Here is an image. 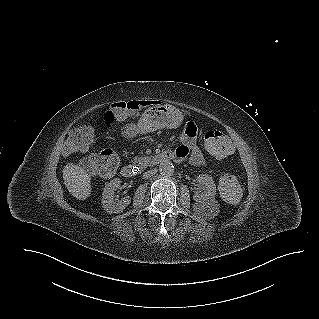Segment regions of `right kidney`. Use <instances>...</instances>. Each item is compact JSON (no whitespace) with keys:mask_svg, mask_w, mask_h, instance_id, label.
Returning a JSON list of instances; mask_svg holds the SVG:
<instances>
[{"mask_svg":"<svg viewBox=\"0 0 319 319\" xmlns=\"http://www.w3.org/2000/svg\"><path fill=\"white\" fill-rule=\"evenodd\" d=\"M121 180L116 178L105 185L102 194V204L104 210L109 214L121 213L131 202L129 196L121 198V200L114 199V193L120 188Z\"/></svg>","mask_w":319,"mask_h":319,"instance_id":"right-kidney-1","label":"right kidney"}]
</instances>
